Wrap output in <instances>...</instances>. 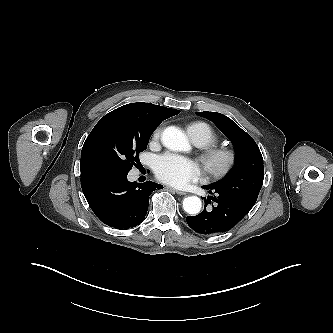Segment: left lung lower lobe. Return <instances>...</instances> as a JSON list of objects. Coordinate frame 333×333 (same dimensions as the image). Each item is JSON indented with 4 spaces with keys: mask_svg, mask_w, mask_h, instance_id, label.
<instances>
[{
    "mask_svg": "<svg viewBox=\"0 0 333 333\" xmlns=\"http://www.w3.org/2000/svg\"><path fill=\"white\" fill-rule=\"evenodd\" d=\"M203 188L210 194H216L212 197L216 204L212 205L211 211L204 209L197 216H187L188 225L199 234L215 235L229 231L248 214L255 204L244 197L234 196L209 185Z\"/></svg>",
    "mask_w": 333,
    "mask_h": 333,
    "instance_id": "1",
    "label": "left lung lower lobe"
}]
</instances>
